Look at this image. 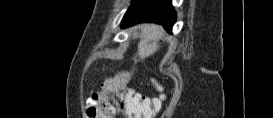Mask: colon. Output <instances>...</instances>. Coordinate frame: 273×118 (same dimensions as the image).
Segmentation results:
<instances>
[{
  "label": "colon",
  "instance_id": "1",
  "mask_svg": "<svg viewBox=\"0 0 273 118\" xmlns=\"http://www.w3.org/2000/svg\"><path fill=\"white\" fill-rule=\"evenodd\" d=\"M161 104L162 97L150 98L133 90L109 96L94 92L91 95L87 118H114L117 112L128 118H152L160 110Z\"/></svg>",
  "mask_w": 273,
  "mask_h": 118
}]
</instances>
